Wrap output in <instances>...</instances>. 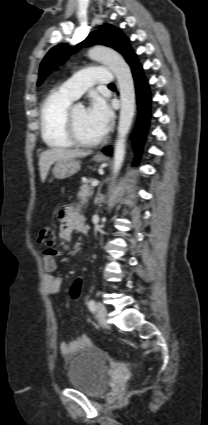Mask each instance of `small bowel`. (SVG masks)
Masks as SVG:
<instances>
[{
    "label": "small bowel",
    "instance_id": "obj_1",
    "mask_svg": "<svg viewBox=\"0 0 208 425\" xmlns=\"http://www.w3.org/2000/svg\"><path fill=\"white\" fill-rule=\"evenodd\" d=\"M60 228L59 237L63 241H70L75 231H81L85 226V222L80 214L75 212L72 208H64L59 215ZM57 254L55 251H46L43 257V268L46 272L44 276L45 290L48 294H58L62 287V278L54 275L57 268V263L54 256ZM91 341L87 335H81L72 342H62L60 350L63 355L70 356L77 350L88 347Z\"/></svg>",
    "mask_w": 208,
    "mask_h": 425
}]
</instances>
